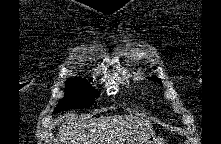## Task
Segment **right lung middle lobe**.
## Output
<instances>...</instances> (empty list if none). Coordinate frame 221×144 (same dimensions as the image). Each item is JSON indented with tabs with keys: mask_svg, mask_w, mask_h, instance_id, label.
<instances>
[{
	"mask_svg": "<svg viewBox=\"0 0 221 144\" xmlns=\"http://www.w3.org/2000/svg\"><path fill=\"white\" fill-rule=\"evenodd\" d=\"M65 97L62 98L53 113L67 109H80L91 106L99 93L83 78H71L65 84Z\"/></svg>",
	"mask_w": 221,
	"mask_h": 144,
	"instance_id": "obj_1",
	"label": "right lung middle lobe"
}]
</instances>
